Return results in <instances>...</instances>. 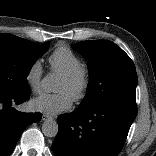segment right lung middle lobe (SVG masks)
<instances>
[{"instance_id": "obj_1", "label": "right lung middle lobe", "mask_w": 156, "mask_h": 156, "mask_svg": "<svg viewBox=\"0 0 156 156\" xmlns=\"http://www.w3.org/2000/svg\"><path fill=\"white\" fill-rule=\"evenodd\" d=\"M50 42L36 44L11 34H0V90L28 92V76L33 64Z\"/></svg>"}]
</instances>
